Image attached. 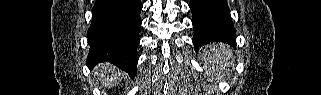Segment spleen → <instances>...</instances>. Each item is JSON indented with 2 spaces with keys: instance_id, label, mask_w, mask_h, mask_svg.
I'll use <instances>...</instances> for the list:
<instances>
[{
  "instance_id": "3e777b00",
  "label": "spleen",
  "mask_w": 321,
  "mask_h": 95,
  "mask_svg": "<svg viewBox=\"0 0 321 95\" xmlns=\"http://www.w3.org/2000/svg\"><path fill=\"white\" fill-rule=\"evenodd\" d=\"M231 49L225 44H209L203 48V59L213 74H221L233 66Z\"/></svg>"
}]
</instances>
